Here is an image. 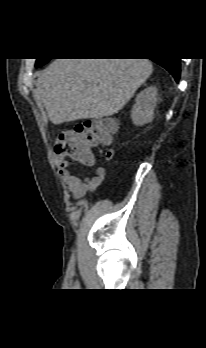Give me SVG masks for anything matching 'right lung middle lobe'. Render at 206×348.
Returning <instances> with one entry per match:
<instances>
[{
	"label": "right lung middle lobe",
	"mask_w": 206,
	"mask_h": 348,
	"mask_svg": "<svg viewBox=\"0 0 206 348\" xmlns=\"http://www.w3.org/2000/svg\"><path fill=\"white\" fill-rule=\"evenodd\" d=\"M48 61H49V59H37L36 67H40V66L44 65Z\"/></svg>",
	"instance_id": "1"
}]
</instances>
